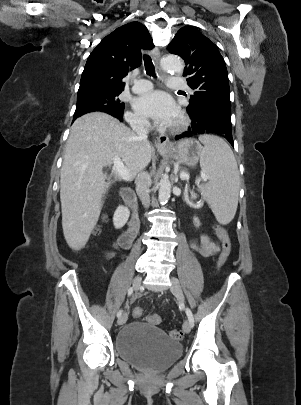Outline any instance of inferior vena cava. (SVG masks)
<instances>
[{"label":"inferior vena cava","mask_w":301,"mask_h":405,"mask_svg":"<svg viewBox=\"0 0 301 405\" xmlns=\"http://www.w3.org/2000/svg\"><path fill=\"white\" fill-rule=\"evenodd\" d=\"M132 129L140 140L147 141L149 122L146 119H135L132 124ZM136 192L144 207H149V187L151 186V178L143 169L138 172L136 179Z\"/></svg>","instance_id":"inferior-vena-cava-1"}]
</instances>
